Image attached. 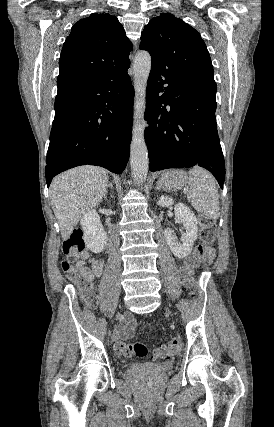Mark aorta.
<instances>
[{
	"label": "aorta",
	"mask_w": 274,
	"mask_h": 427,
	"mask_svg": "<svg viewBox=\"0 0 274 427\" xmlns=\"http://www.w3.org/2000/svg\"><path fill=\"white\" fill-rule=\"evenodd\" d=\"M150 69V54L147 51L137 52L133 61L135 101L132 141L130 146L131 172L137 184H141L146 180L149 168L148 150L144 139V130L147 126L144 120V113L146 87Z\"/></svg>",
	"instance_id": "762f6f07"
}]
</instances>
